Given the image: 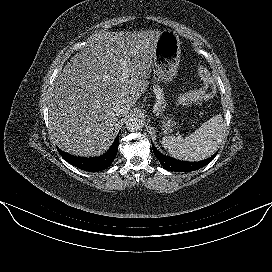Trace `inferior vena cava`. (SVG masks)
<instances>
[{"instance_id": "1", "label": "inferior vena cava", "mask_w": 272, "mask_h": 272, "mask_svg": "<svg viewBox=\"0 0 272 272\" xmlns=\"http://www.w3.org/2000/svg\"><path fill=\"white\" fill-rule=\"evenodd\" d=\"M129 109V106L125 105L121 101L117 102L113 107V110L117 116L127 114L129 112Z\"/></svg>"}]
</instances>
